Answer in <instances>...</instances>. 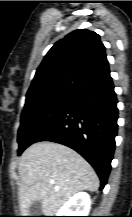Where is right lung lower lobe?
Masks as SVG:
<instances>
[{
	"label": "right lung lower lobe",
	"instance_id": "1",
	"mask_svg": "<svg viewBox=\"0 0 132 217\" xmlns=\"http://www.w3.org/2000/svg\"><path fill=\"white\" fill-rule=\"evenodd\" d=\"M117 119V98L110 80L78 94L36 142H56L77 151L93 166L103 189L111 170Z\"/></svg>",
	"mask_w": 132,
	"mask_h": 217
}]
</instances>
